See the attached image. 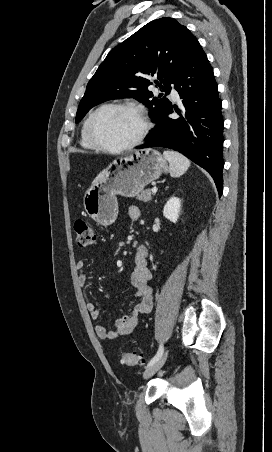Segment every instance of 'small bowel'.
<instances>
[{
  "mask_svg": "<svg viewBox=\"0 0 272 452\" xmlns=\"http://www.w3.org/2000/svg\"><path fill=\"white\" fill-rule=\"evenodd\" d=\"M140 217V210L137 206H129L127 209V218L130 222H136ZM135 268L131 275V283L135 288L134 296L140 300L129 313L116 321V328L108 330L103 325L97 324L95 326V333L98 338L102 340H114L121 336L131 334L137 324L140 315L147 314L151 311L153 304V289L149 282L152 278V272L148 266V249L144 245H139L136 248L134 256ZM85 263L78 261L76 263L77 270H83ZM79 283L84 286L88 283L89 277L87 274H80L78 278ZM87 309L90 312L93 320H98L100 317V310L94 301L87 303Z\"/></svg>",
  "mask_w": 272,
  "mask_h": 452,
  "instance_id": "small-bowel-1",
  "label": "small bowel"
}]
</instances>
